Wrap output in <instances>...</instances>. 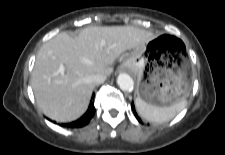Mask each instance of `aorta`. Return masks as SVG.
<instances>
[{
    "mask_svg": "<svg viewBox=\"0 0 225 155\" xmlns=\"http://www.w3.org/2000/svg\"><path fill=\"white\" fill-rule=\"evenodd\" d=\"M117 84L123 91L132 90L134 87V81L132 77L126 73H121L118 75Z\"/></svg>",
    "mask_w": 225,
    "mask_h": 155,
    "instance_id": "obj_1",
    "label": "aorta"
}]
</instances>
